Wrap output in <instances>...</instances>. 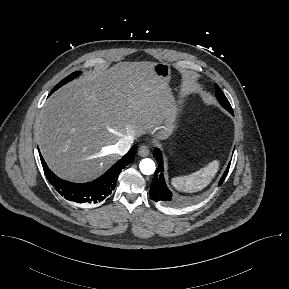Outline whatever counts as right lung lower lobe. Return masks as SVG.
Wrapping results in <instances>:
<instances>
[{
  "label": "right lung lower lobe",
  "instance_id": "right-lung-lower-lobe-1",
  "mask_svg": "<svg viewBox=\"0 0 289 289\" xmlns=\"http://www.w3.org/2000/svg\"><path fill=\"white\" fill-rule=\"evenodd\" d=\"M136 150L137 146L134 145L130 151L106 173L88 183H71L64 181L48 168L41 154L40 159L47 179L61 196L69 201L80 204H95L103 201L112 193L122 169L134 161Z\"/></svg>",
  "mask_w": 289,
  "mask_h": 289
}]
</instances>
